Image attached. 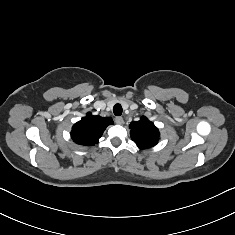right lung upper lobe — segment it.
I'll return each instance as SVG.
<instances>
[{"instance_id": "cb5924a9", "label": "right lung upper lobe", "mask_w": 235, "mask_h": 235, "mask_svg": "<svg viewBox=\"0 0 235 235\" xmlns=\"http://www.w3.org/2000/svg\"><path fill=\"white\" fill-rule=\"evenodd\" d=\"M113 123L112 118L94 116L88 113L86 117H83L72 127V139L77 144L92 146L98 143L107 126Z\"/></svg>"}]
</instances>
